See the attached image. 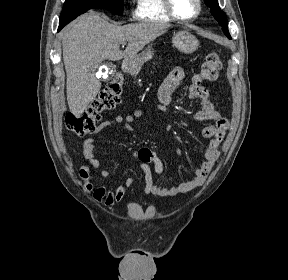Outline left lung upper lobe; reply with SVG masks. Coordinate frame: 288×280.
I'll list each match as a JSON object with an SVG mask.
<instances>
[{"label":"left lung upper lobe","instance_id":"obj_1","mask_svg":"<svg viewBox=\"0 0 288 280\" xmlns=\"http://www.w3.org/2000/svg\"><path fill=\"white\" fill-rule=\"evenodd\" d=\"M204 1H205V4L210 8L212 15L222 26V30L225 33V35L229 39H231V36L228 31L227 18H226V15L220 10V7L218 5V0H204Z\"/></svg>","mask_w":288,"mask_h":280}]
</instances>
